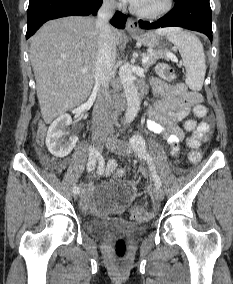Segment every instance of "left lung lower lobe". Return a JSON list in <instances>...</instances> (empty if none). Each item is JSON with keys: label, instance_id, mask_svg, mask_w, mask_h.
I'll return each mask as SVG.
<instances>
[{"label": "left lung lower lobe", "instance_id": "obj_1", "mask_svg": "<svg viewBox=\"0 0 233 284\" xmlns=\"http://www.w3.org/2000/svg\"><path fill=\"white\" fill-rule=\"evenodd\" d=\"M139 25L143 29L183 27L204 33L212 41L209 0H176L170 13L153 23L139 20Z\"/></svg>", "mask_w": 233, "mask_h": 284}]
</instances>
